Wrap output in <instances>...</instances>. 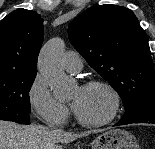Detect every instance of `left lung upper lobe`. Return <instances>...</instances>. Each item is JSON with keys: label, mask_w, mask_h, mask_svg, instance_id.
<instances>
[{"label": "left lung upper lobe", "mask_w": 155, "mask_h": 149, "mask_svg": "<svg viewBox=\"0 0 155 149\" xmlns=\"http://www.w3.org/2000/svg\"><path fill=\"white\" fill-rule=\"evenodd\" d=\"M73 47L116 89L126 112L155 97L147 37L134 13L121 6L90 7L69 25Z\"/></svg>", "instance_id": "5c2ea615"}]
</instances>
